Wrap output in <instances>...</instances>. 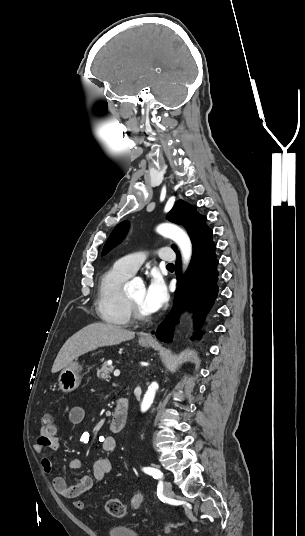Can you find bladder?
<instances>
[{
	"mask_svg": "<svg viewBox=\"0 0 305 536\" xmlns=\"http://www.w3.org/2000/svg\"><path fill=\"white\" fill-rule=\"evenodd\" d=\"M105 536H139L137 530L125 526L122 522L108 524Z\"/></svg>",
	"mask_w": 305,
	"mask_h": 536,
	"instance_id": "31cf9c89",
	"label": "bladder"
}]
</instances>
